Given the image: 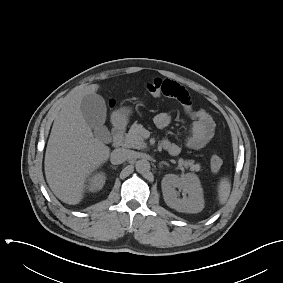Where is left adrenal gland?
<instances>
[{
  "label": "left adrenal gland",
  "instance_id": "obj_1",
  "mask_svg": "<svg viewBox=\"0 0 283 283\" xmlns=\"http://www.w3.org/2000/svg\"><path fill=\"white\" fill-rule=\"evenodd\" d=\"M162 165H167V166H169V164H168L167 162H164V161H162V162L159 163V167L162 168Z\"/></svg>",
  "mask_w": 283,
  "mask_h": 283
}]
</instances>
